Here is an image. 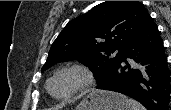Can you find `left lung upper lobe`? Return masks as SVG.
Instances as JSON below:
<instances>
[{
  "mask_svg": "<svg viewBox=\"0 0 171 110\" xmlns=\"http://www.w3.org/2000/svg\"><path fill=\"white\" fill-rule=\"evenodd\" d=\"M149 17L139 1H105L65 26L41 71L58 62L78 59L94 72L100 84L118 66L125 49L142 32Z\"/></svg>",
  "mask_w": 171,
  "mask_h": 110,
  "instance_id": "5c2ea615",
  "label": "left lung upper lobe"
}]
</instances>
